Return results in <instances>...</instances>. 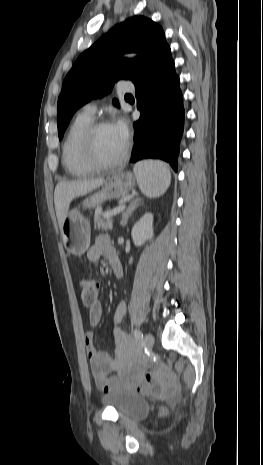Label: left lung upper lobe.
Listing matches in <instances>:
<instances>
[{"mask_svg": "<svg viewBox=\"0 0 263 465\" xmlns=\"http://www.w3.org/2000/svg\"><path fill=\"white\" fill-rule=\"evenodd\" d=\"M167 44L162 28L143 16L114 26L83 52L63 81L58 98V134L62 139L71 117L85 103L109 93L120 79L133 80ZM124 53H138L130 61ZM119 106L117 100H113Z\"/></svg>", "mask_w": 263, "mask_h": 465, "instance_id": "obj_1", "label": "left lung upper lobe"}]
</instances>
